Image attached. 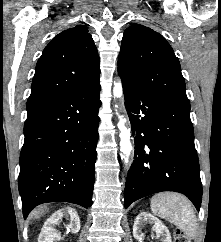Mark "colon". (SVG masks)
Here are the masks:
<instances>
[{"instance_id":"colon-1","label":"colon","mask_w":221,"mask_h":242,"mask_svg":"<svg viewBox=\"0 0 221 242\" xmlns=\"http://www.w3.org/2000/svg\"><path fill=\"white\" fill-rule=\"evenodd\" d=\"M174 242H190L187 235L182 230L174 232Z\"/></svg>"}]
</instances>
